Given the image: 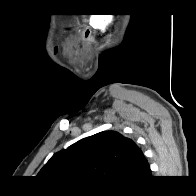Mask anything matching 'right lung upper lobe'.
Here are the masks:
<instances>
[{
	"mask_svg": "<svg viewBox=\"0 0 196 196\" xmlns=\"http://www.w3.org/2000/svg\"><path fill=\"white\" fill-rule=\"evenodd\" d=\"M151 174L135 142L115 131H102L55 153L38 173L54 184L107 188L138 184Z\"/></svg>",
	"mask_w": 196,
	"mask_h": 196,
	"instance_id": "right-lung-upper-lobe-1",
	"label": "right lung upper lobe"
}]
</instances>
